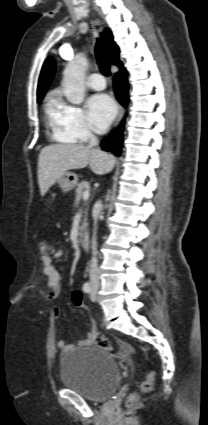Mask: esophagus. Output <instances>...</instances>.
Wrapping results in <instances>:
<instances>
[{
	"label": "esophagus",
	"mask_w": 208,
	"mask_h": 425,
	"mask_svg": "<svg viewBox=\"0 0 208 425\" xmlns=\"http://www.w3.org/2000/svg\"><path fill=\"white\" fill-rule=\"evenodd\" d=\"M123 116H124V108L122 106H119V114H118V117H117L116 122L114 124V127H117L119 125Z\"/></svg>",
	"instance_id": "esophagus-1"
}]
</instances>
